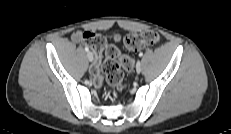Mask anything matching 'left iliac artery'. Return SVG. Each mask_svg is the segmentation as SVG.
I'll return each instance as SVG.
<instances>
[{
	"mask_svg": "<svg viewBox=\"0 0 231 134\" xmlns=\"http://www.w3.org/2000/svg\"><path fill=\"white\" fill-rule=\"evenodd\" d=\"M142 56H143V53H142V52H140V53H139V57H142Z\"/></svg>",
	"mask_w": 231,
	"mask_h": 134,
	"instance_id": "left-iliac-artery-1",
	"label": "left iliac artery"
}]
</instances>
